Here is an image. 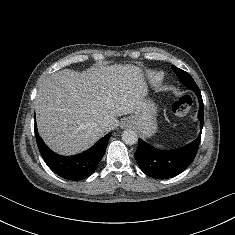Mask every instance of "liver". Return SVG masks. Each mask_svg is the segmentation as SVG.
<instances>
[{
    "label": "liver",
    "mask_w": 235,
    "mask_h": 235,
    "mask_svg": "<svg viewBox=\"0 0 235 235\" xmlns=\"http://www.w3.org/2000/svg\"><path fill=\"white\" fill-rule=\"evenodd\" d=\"M141 69L134 65L58 71L41 84L35 112L38 131L55 152L73 155L91 147L119 125L116 117L136 113L146 99ZM102 121L108 126L100 127Z\"/></svg>",
    "instance_id": "liver-1"
}]
</instances>
